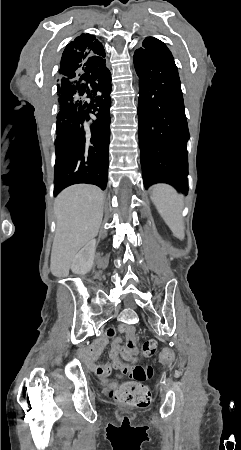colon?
I'll return each instance as SVG.
<instances>
[{
    "label": "colon",
    "mask_w": 241,
    "mask_h": 450,
    "mask_svg": "<svg viewBox=\"0 0 241 450\" xmlns=\"http://www.w3.org/2000/svg\"><path fill=\"white\" fill-rule=\"evenodd\" d=\"M156 350L157 342L154 339H147L141 347V353L144 357L153 356ZM171 351L170 347H165L160 353V362H167ZM123 372L135 382L151 379L154 374V370L150 365L141 364L125 365ZM104 393L109 400L128 408L147 409L152 402L150 389L142 384L133 382L126 384L110 383Z\"/></svg>",
    "instance_id": "1"
}]
</instances>
